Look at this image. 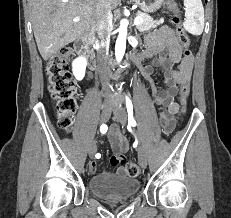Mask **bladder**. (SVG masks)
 Listing matches in <instances>:
<instances>
[{
	"label": "bladder",
	"mask_w": 231,
	"mask_h": 218,
	"mask_svg": "<svg viewBox=\"0 0 231 218\" xmlns=\"http://www.w3.org/2000/svg\"><path fill=\"white\" fill-rule=\"evenodd\" d=\"M91 192L106 200H126L134 197L140 188L136 178L128 176L101 175L89 180Z\"/></svg>",
	"instance_id": "bladder-1"
}]
</instances>
